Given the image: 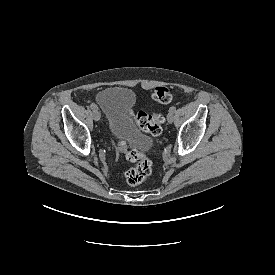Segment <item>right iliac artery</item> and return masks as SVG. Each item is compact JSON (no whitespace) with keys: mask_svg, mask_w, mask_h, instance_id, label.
I'll use <instances>...</instances> for the list:
<instances>
[{"mask_svg":"<svg viewBox=\"0 0 275 275\" xmlns=\"http://www.w3.org/2000/svg\"><path fill=\"white\" fill-rule=\"evenodd\" d=\"M90 107H91V109H97V106L94 104V103H92L91 105H90Z\"/></svg>","mask_w":275,"mask_h":275,"instance_id":"82829eb1","label":"right iliac artery"}]
</instances>
